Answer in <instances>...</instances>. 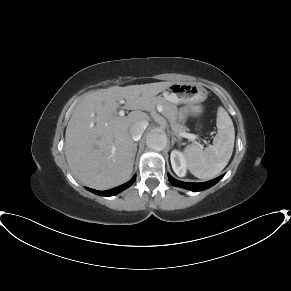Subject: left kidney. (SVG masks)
Masks as SVG:
<instances>
[{"label":"left kidney","mask_w":291,"mask_h":291,"mask_svg":"<svg viewBox=\"0 0 291 291\" xmlns=\"http://www.w3.org/2000/svg\"><path fill=\"white\" fill-rule=\"evenodd\" d=\"M171 165L179 177H184L187 173V161L185 156L179 150H173L170 156Z\"/></svg>","instance_id":"left-kidney-1"}]
</instances>
